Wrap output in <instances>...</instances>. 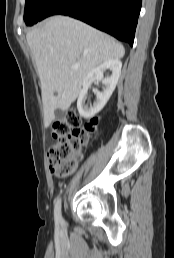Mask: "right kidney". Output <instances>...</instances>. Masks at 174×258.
<instances>
[{"label":"right kidney","instance_id":"ca27d5eb","mask_svg":"<svg viewBox=\"0 0 174 258\" xmlns=\"http://www.w3.org/2000/svg\"><path fill=\"white\" fill-rule=\"evenodd\" d=\"M121 67L122 63L119 59H111L103 62L87 74L83 80V88L81 89L77 100V109L81 116L90 118L103 109L116 88L121 74ZM106 70H110L111 74L104 78L103 74ZM95 80L102 81V84L104 85L103 91H97L95 93L96 101L93 105L86 106L84 105V101L87 96L88 88Z\"/></svg>","mask_w":174,"mask_h":258}]
</instances>
